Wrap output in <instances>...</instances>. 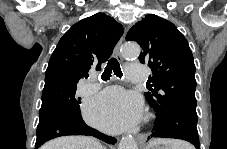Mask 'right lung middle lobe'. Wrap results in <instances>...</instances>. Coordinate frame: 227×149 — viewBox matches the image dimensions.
<instances>
[{
	"label": "right lung middle lobe",
	"mask_w": 227,
	"mask_h": 149,
	"mask_svg": "<svg viewBox=\"0 0 227 149\" xmlns=\"http://www.w3.org/2000/svg\"><path fill=\"white\" fill-rule=\"evenodd\" d=\"M76 86L53 85L43 89L39 123L62 117H81L80 99L75 98Z\"/></svg>",
	"instance_id": "right-lung-middle-lobe-1"
}]
</instances>
